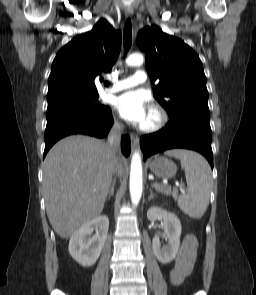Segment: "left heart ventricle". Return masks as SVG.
Masks as SVG:
<instances>
[{
    "instance_id": "b2bd125f",
    "label": "left heart ventricle",
    "mask_w": 256,
    "mask_h": 295,
    "mask_svg": "<svg viewBox=\"0 0 256 295\" xmlns=\"http://www.w3.org/2000/svg\"><path fill=\"white\" fill-rule=\"evenodd\" d=\"M152 120H153V116H152V114L150 113L149 116L147 117V119H146V121H145L144 124H148V123H150Z\"/></svg>"
}]
</instances>
